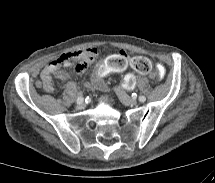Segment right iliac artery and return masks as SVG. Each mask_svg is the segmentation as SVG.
<instances>
[{"instance_id":"right-iliac-artery-1","label":"right iliac artery","mask_w":215,"mask_h":183,"mask_svg":"<svg viewBox=\"0 0 215 183\" xmlns=\"http://www.w3.org/2000/svg\"><path fill=\"white\" fill-rule=\"evenodd\" d=\"M82 101H83V97H82V96H79V97L77 98V100H76L77 104H78V103H81Z\"/></svg>"}]
</instances>
